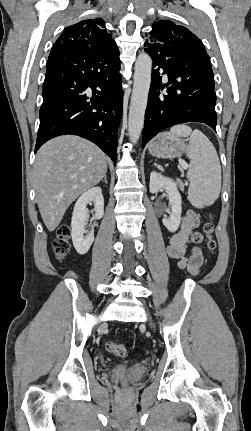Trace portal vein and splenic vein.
Wrapping results in <instances>:
<instances>
[{
  "label": "portal vein and splenic vein",
  "mask_w": 251,
  "mask_h": 431,
  "mask_svg": "<svg viewBox=\"0 0 251 431\" xmlns=\"http://www.w3.org/2000/svg\"><path fill=\"white\" fill-rule=\"evenodd\" d=\"M181 165H182V167L184 168V169H187L188 168V165L186 164V163H181Z\"/></svg>",
  "instance_id": "obj_1"
}]
</instances>
